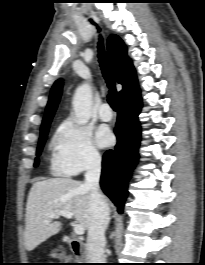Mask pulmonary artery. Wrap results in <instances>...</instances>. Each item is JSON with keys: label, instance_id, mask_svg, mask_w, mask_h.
<instances>
[{"label": "pulmonary artery", "instance_id": "pulmonary-artery-1", "mask_svg": "<svg viewBox=\"0 0 205 265\" xmlns=\"http://www.w3.org/2000/svg\"><path fill=\"white\" fill-rule=\"evenodd\" d=\"M99 117L103 121H110L113 113L108 103H103L99 108Z\"/></svg>", "mask_w": 205, "mask_h": 265}]
</instances>
